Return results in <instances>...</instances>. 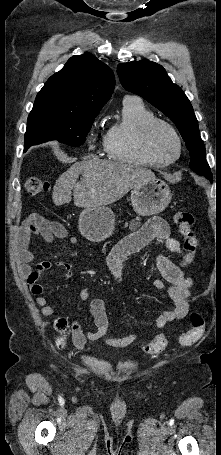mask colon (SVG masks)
<instances>
[{
	"mask_svg": "<svg viewBox=\"0 0 221 455\" xmlns=\"http://www.w3.org/2000/svg\"><path fill=\"white\" fill-rule=\"evenodd\" d=\"M23 187L27 194L36 196L48 192L50 183L39 177H28L25 179ZM174 223L184 239L185 260L190 262L198 249V241L193 231L194 217L189 212H178L174 216ZM190 322L191 328L180 337V342L184 346L197 343L204 334V321L198 313L190 315ZM56 327L59 330H65L67 327L66 320L63 318L57 320ZM167 344V337L164 334H158L144 346V353L152 356L160 354L165 350Z\"/></svg>",
	"mask_w": 221,
	"mask_h": 455,
	"instance_id": "5ec220e1",
	"label": "colon"
}]
</instances>
